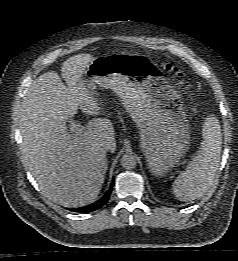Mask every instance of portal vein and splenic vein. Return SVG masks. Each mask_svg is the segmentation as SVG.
<instances>
[{
    "label": "portal vein and splenic vein",
    "mask_w": 238,
    "mask_h": 261,
    "mask_svg": "<svg viewBox=\"0 0 238 261\" xmlns=\"http://www.w3.org/2000/svg\"><path fill=\"white\" fill-rule=\"evenodd\" d=\"M84 130V127L79 122H72L71 123V132H82Z\"/></svg>",
    "instance_id": "portal-vein-and-splenic-vein-1"
}]
</instances>
